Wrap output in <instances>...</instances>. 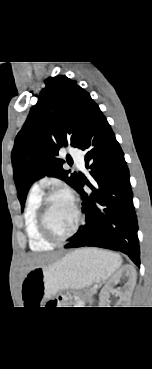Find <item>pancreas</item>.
<instances>
[{
  "label": "pancreas",
  "instance_id": "cf45deb5",
  "mask_svg": "<svg viewBox=\"0 0 152 369\" xmlns=\"http://www.w3.org/2000/svg\"><path fill=\"white\" fill-rule=\"evenodd\" d=\"M87 295L88 296H92L94 293H95V290H94V288L92 287V288H90L89 290H87Z\"/></svg>",
  "mask_w": 152,
  "mask_h": 369
}]
</instances>
